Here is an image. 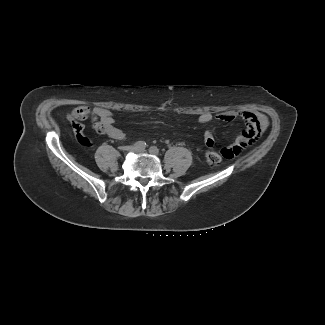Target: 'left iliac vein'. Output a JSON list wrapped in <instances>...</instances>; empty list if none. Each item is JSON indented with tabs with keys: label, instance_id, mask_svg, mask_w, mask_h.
Here are the masks:
<instances>
[{
	"label": "left iliac vein",
	"instance_id": "left-iliac-vein-1",
	"mask_svg": "<svg viewBox=\"0 0 325 325\" xmlns=\"http://www.w3.org/2000/svg\"><path fill=\"white\" fill-rule=\"evenodd\" d=\"M134 151L137 152V153H145L146 152L144 149H139V148H135ZM154 155H157V154H154Z\"/></svg>",
	"mask_w": 325,
	"mask_h": 325
}]
</instances>
